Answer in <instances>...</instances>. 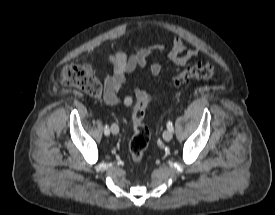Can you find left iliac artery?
Returning a JSON list of instances; mask_svg holds the SVG:
<instances>
[{
  "label": "left iliac artery",
  "mask_w": 275,
  "mask_h": 215,
  "mask_svg": "<svg viewBox=\"0 0 275 215\" xmlns=\"http://www.w3.org/2000/svg\"><path fill=\"white\" fill-rule=\"evenodd\" d=\"M167 128H168L169 130L173 131V124H172V122L168 121V123H167Z\"/></svg>",
  "instance_id": "left-iliac-artery-1"
}]
</instances>
